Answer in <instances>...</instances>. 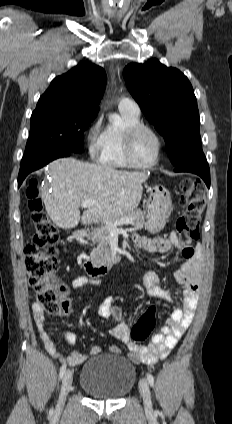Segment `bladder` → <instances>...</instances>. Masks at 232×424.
I'll list each match as a JSON object with an SVG mask.
<instances>
[{"label": "bladder", "mask_w": 232, "mask_h": 424, "mask_svg": "<svg viewBox=\"0 0 232 424\" xmlns=\"http://www.w3.org/2000/svg\"><path fill=\"white\" fill-rule=\"evenodd\" d=\"M135 380V367L125 357L99 354L84 363L79 385L91 397L120 399L129 393Z\"/></svg>", "instance_id": "bladder-1"}]
</instances>
